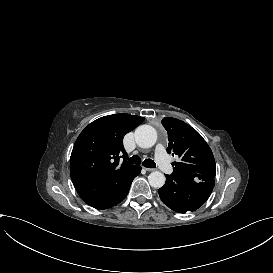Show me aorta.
Segmentation results:
<instances>
[{"instance_id": "1", "label": "aorta", "mask_w": 273, "mask_h": 273, "mask_svg": "<svg viewBox=\"0 0 273 273\" xmlns=\"http://www.w3.org/2000/svg\"><path fill=\"white\" fill-rule=\"evenodd\" d=\"M135 141L142 148H150L157 141V132L150 125H141L135 131ZM165 176L159 171L151 172L148 176L149 184L154 188H161L165 184Z\"/></svg>"}]
</instances>
